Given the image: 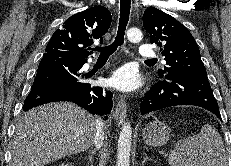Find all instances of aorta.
I'll return each mask as SVG.
<instances>
[{
    "mask_svg": "<svg viewBox=\"0 0 231 166\" xmlns=\"http://www.w3.org/2000/svg\"><path fill=\"white\" fill-rule=\"evenodd\" d=\"M127 38L132 43H139L142 38V32L137 28H130L127 31ZM132 145V129L129 122L122 125L117 149L116 166H130V153Z\"/></svg>",
    "mask_w": 231,
    "mask_h": 166,
    "instance_id": "1",
    "label": "aorta"
}]
</instances>
